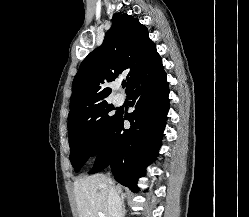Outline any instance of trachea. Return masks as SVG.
<instances>
[{
    "label": "trachea",
    "instance_id": "1",
    "mask_svg": "<svg viewBox=\"0 0 249 217\" xmlns=\"http://www.w3.org/2000/svg\"><path fill=\"white\" fill-rule=\"evenodd\" d=\"M125 86H126V83H125V82H123V83H122V87H123V88H125Z\"/></svg>",
    "mask_w": 249,
    "mask_h": 217
}]
</instances>
